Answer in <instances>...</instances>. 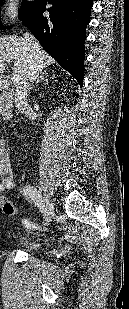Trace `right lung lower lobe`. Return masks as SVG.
<instances>
[{"label":"right lung lower lobe","mask_w":129,"mask_h":309,"mask_svg":"<svg viewBox=\"0 0 129 309\" xmlns=\"http://www.w3.org/2000/svg\"><path fill=\"white\" fill-rule=\"evenodd\" d=\"M46 0L36 2L23 19L44 50L82 84L85 29L92 0H48L52 7L43 16Z\"/></svg>","instance_id":"right-lung-lower-lobe-1"}]
</instances>
